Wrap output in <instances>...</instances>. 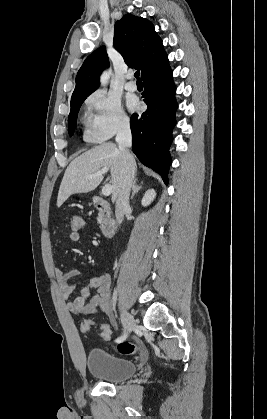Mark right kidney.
Segmentation results:
<instances>
[{
  "label": "right kidney",
  "mask_w": 267,
  "mask_h": 419,
  "mask_svg": "<svg viewBox=\"0 0 267 419\" xmlns=\"http://www.w3.org/2000/svg\"><path fill=\"white\" fill-rule=\"evenodd\" d=\"M155 196H156V192H155L154 189L147 190L145 192L143 198H142V201H141L142 206L146 207L149 204H151V202L154 200Z\"/></svg>",
  "instance_id": "obj_1"
}]
</instances>
